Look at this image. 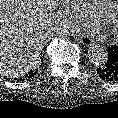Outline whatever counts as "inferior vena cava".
Segmentation results:
<instances>
[{
  "mask_svg": "<svg viewBox=\"0 0 118 118\" xmlns=\"http://www.w3.org/2000/svg\"><path fill=\"white\" fill-rule=\"evenodd\" d=\"M60 28H61L60 25H55V26L53 27V30H54V32L58 33V32H60Z\"/></svg>",
  "mask_w": 118,
  "mask_h": 118,
  "instance_id": "1",
  "label": "inferior vena cava"
}]
</instances>
